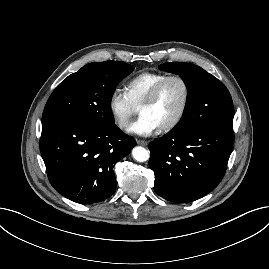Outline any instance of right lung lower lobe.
Returning a JSON list of instances; mask_svg holds the SVG:
<instances>
[{"label": "right lung lower lobe", "instance_id": "right-lung-lower-lobe-1", "mask_svg": "<svg viewBox=\"0 0 269 269\" xmlns=\"http://www.w3.org/2000/svg\"><path fill=\"white\" fill-rule=\"evenodd\" d=\"M39 145L51 185L74 202L93 204L115 192L113 167L136 141L115 124L56 119L42 123Z\"/></svg>", "mask_w": 269, "mask_h": 269}]
</instances>
